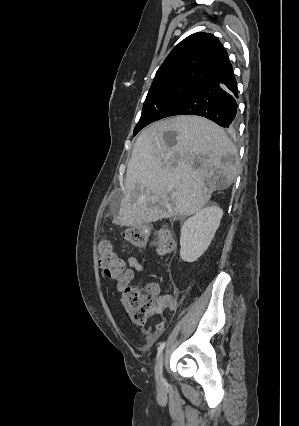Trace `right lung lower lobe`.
I'll return each mask as SVG.
<instances>
[{"instance_id": "right-lung-lower-lobe-1", "label": "right lung lower lobe", "mask_w": 299, "mask_h": 426, "mask_svg": "<svg viewBox=\"0 0 299 426\" xmlns=\"http://www.w3.org/2000/svg\"><path fill=\"white\" fill-rule=\"evenodd\" d=\"M237 84L232 68L173 103L159 119L174 115H200L218 125L233 129L237 113Z\"/></svg>"}]
</instances>
